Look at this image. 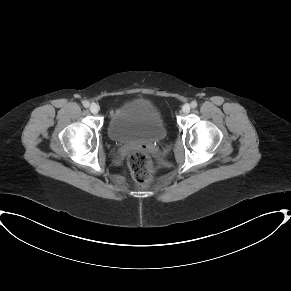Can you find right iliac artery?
<instances>
[{
    "label": "right iliac artery",
    "mask_w": 291,
    "mask_h": 291,
    "mask_svg": "<svg viewBox=\"0 0 291 291\" xmlns=\"http://www.w3.org/2000/svg\"><path fill=\"white\" fill-rule=\"evenodd\" d=\"M83 106H84L85 108H88V107L90 106L89 101L85 100V101L83 102Z\"/></svg>",
    "instance_id": "82829eb1"
}]
</instances>
